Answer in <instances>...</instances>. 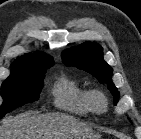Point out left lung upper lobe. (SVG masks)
Instances as JSON below:
<instances>
[{"instance_id": "obj_1", "label": "left lung upper lobe", "mask_w": 141, "mask_h": 139, "mask_svg": "<svg viewBox=\"0 0 141 139\" xmlns=\"http://www.w3.org/2000/svg\"><path fill=\"white\" fill-rule=\"evenodd\" d=\"M65 65L74 66L95 76L101 83L107 84L118 102L119 92L112 82V68L103 59V49L97 43L86 42L62 54Z\"/></svg>"}]
</instances>
